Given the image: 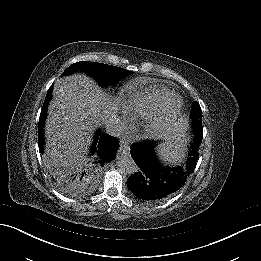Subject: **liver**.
<instances>
[{
	"label": "liver",
	"mask_w": 261,
	"mask_h": 261,
	"mask_svg": "<svg viewBox=\"0 0 261 261\" xmlns=\"http://www.w3.org/2000/svg\"><path fill=\"white\" fill-rule=\"evenodd\" d=\"M120 102L83 74L56 82L45 123L47 169L83 162L94 131L117 115Z\"/></svg>",
	"instance_id": "1"
}]
</instances>
